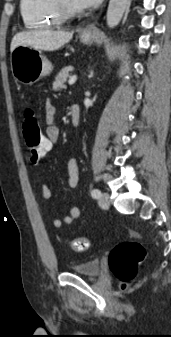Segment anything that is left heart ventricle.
Returning <instances> with one entry per match:
<instances>
[{"mask_svg": "<svg viewBox=\"0 0 171 337\" xmlns=\"http://www.w3.org/2000/svg\"><path fill=\"white\" fill-rule=\"evenodd\" d=\"M70 5L74 6L72 0H66Z\"/></svg>", "mask_w": 171, "mask_h": 337, "instance_id": "1", "label": "left heart ventricle"}]
</instances>
